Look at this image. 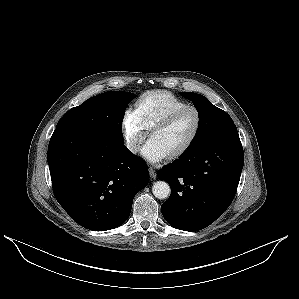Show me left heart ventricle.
I'll list each match as a JSON object with an SVG mask.
<instances>
[{"label": "left heart ventricle", "mask_w": 299, "mask_h": 299, "mask_svg": "<svg viewBox=\"0 0 299 299\" xmlns=\"http://www.w3.org/2000/svg\"><path fill=\"white\" fill-rule=\"evenodd\" d=\"M195 125V113L187 111L169 127L155 131L151 138L155 139L169 155L187 142L194 131Z\"/></svg>", "instance_id": "obj_1"}]
</instances>
